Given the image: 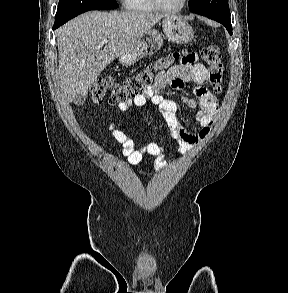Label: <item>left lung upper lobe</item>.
<instances>
[{
    "label": "left lung upper lobe",
    "instance_id": "obj_1",
    "mask_svg": "<svg viewBox=\"0 0 288 293\" xmlns=\"http://www.w3.org/2000/svg\"><path fill=\"white\" fill-rule=\"evenodd\" d=\"M189 10L220 23L230 22V11L227 0H189Z\"/></svg>",
    "mask_w": 288,
    "mask_h": 293
}]
</instances>
